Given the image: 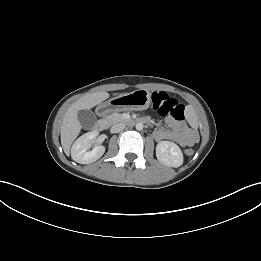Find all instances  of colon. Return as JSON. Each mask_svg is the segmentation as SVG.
Segmentation results:
<instances>
[{
  "instance_id": "obj_1",
  "label": "colon",
  "mask_w": 261,
  "mask_h": 261,
  "mask_svg": "<svg viewBox=\"0 0 261 261\" xmlns=\"http://www.w3.org/2000/svg\"><path fill=\"white\" fill-rule=\"evenodd\" d=\"M152 106L162 116L174 120H182L184 118V106L164 92L153 93ZM185 153L191 156L194 154V149L188 147L185 149Z\"/></svg>"
}]
</instances>
